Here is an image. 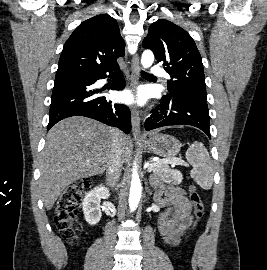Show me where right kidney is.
Returning <instances> with one entry per match:
<instances>
[{"mask_svg":"<svg viewBox=\"0 0 267 270\" xmlns=\"http://www.w3.org/2000/svg\"><path fill=\"white\" fill-rule=\"evenodd\" d=\"M109 197V190L103 185L95 187L89 191L82 203V210L85 220L90 225H96L102 216L100 202L101 199Z\"/></svg>","mask_w":267,"mask_h":270,"instance_id":"obj_1","label":"right kidney"}]
</instances>
